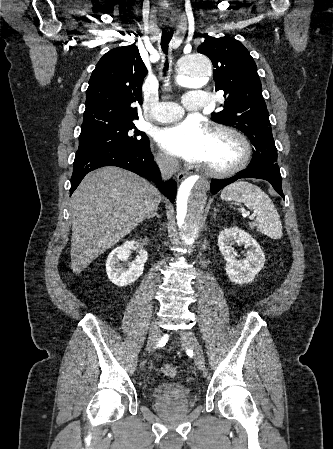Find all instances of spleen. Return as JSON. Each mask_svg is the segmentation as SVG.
I'll return each mask as SVG.
<instances>
[{
  "label": "spleen",
  "instance_id": "spleen-1",
  "mask_svg": "<svg viewBox=\"0 0 333 449\" xmlns=\"http://www.w3.org/2000/svg\"><path fill=\"white\" fill-rule=\"evenodd\" d=\"M221 199L244 203L257 216L256 221L249 224L270 238L282 237L280 216L269 196L258 186L245 181L234 182L221 192Z\"/></svg>",
  "mask_w": 333,
  "mask_h": 449
}]
</instances>
